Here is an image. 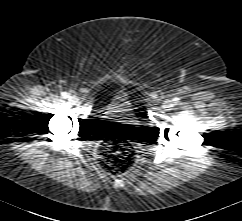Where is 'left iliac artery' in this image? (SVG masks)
I'll return each mask as SVG.
<instances>
[{
  "instance_id": "44dca946",
  "label": "left iliac artery",
  "mask_w": 242,
  "mask_h": 221,
  "mask_svg": "<svg viewBox=\"0 0 242 221\" xmlns=\"http://www.w3.org/2000/svg\"><path fill=\"white\" fill-rule=\"evenodd\" d=\"M179 98L178 97H175V98H173V102L175 103V104H178L179 103Z\"/></svg>"
}]
</instances>
